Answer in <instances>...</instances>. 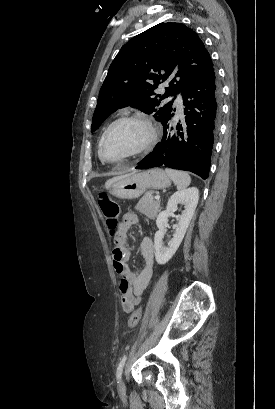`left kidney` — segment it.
Segmentation results:
<instances>
[{"label":"left kidney","instance_id":"left-kidney-1","mask_svg":"<svg viewBox=\"0 0 275 409\" xmlns=\"http://www.w3.org/2000/svg\"><path fill=\"white\" fill-rule=\"evenodd\" d=\"M199 198V190L196 186L191 188H185V190H177L168 200L166 211L159 213L156 221V225L159 229L155 233L154 247H155V259L158 265H165L176 253L180 243L184 239V235L189 227V223L195 213L197 202ZM177 205H185L182 215L178 217V227L173 235V239L169 241L168 247H163L162 239H164L165 231L164 227L168 221L171 211L177 207Z\"/></svg>","mask_w":275,"mask_h":409}]
</instances>
